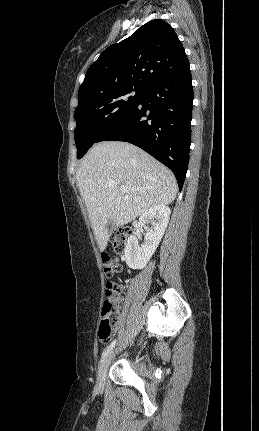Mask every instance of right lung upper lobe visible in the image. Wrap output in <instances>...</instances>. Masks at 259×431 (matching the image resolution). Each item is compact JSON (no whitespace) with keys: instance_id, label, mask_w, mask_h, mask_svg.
<instances>
[{"instance_id":"1","label":"right lung upper lobe","mask_w":259,"mask_h":431,"mask_svg":"<svg viewBox=\"0 0 259 431\" xmlns=\"http://www.w3.org/2000/svg\"><path fill=\"white\" fill-rule=\"evenodd\" d=\"M188 65L174 29L163 20H151L101 53L87 70L78 100L125 87L147 89Z\"/></svg>"}]
</instances>
